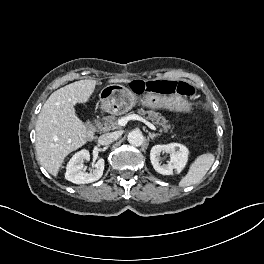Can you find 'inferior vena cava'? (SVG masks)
<instances>
[{
    "mask_svg": "<svg viewBox=\"0 0 264 264\" xmlns=\"http://www.w3.org/2000/svg\"><path fill=\"white\" fill-rule=\"evenodd\" d=\"M117 139L116 135L114 133H106L99 137L98 143L100 145H109L112 142H114Z\"/></svg>",
    "mask_w": 264,
    "mask_h": 264,
    "instance_id": "1",
    "label": "inferior vena cava"
}]
</instances>
